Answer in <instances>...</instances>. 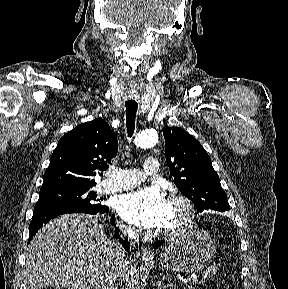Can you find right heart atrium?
<instances>
[{"label": "right heart atrium", "instance_id": "obj_1", "mask_svg": "<svg viewBox=\"0 0 288 289\" xmlns=\"http://www.w3.org/2000/svg\"><path fill=\"white\" fill-rule=\"evenodd\" d=\"M125 230H126L128 233L131 232V230H130L129 228H125Z\"/></svg>", "mask_w": 288, "mask_h": 289}]
</instances>
